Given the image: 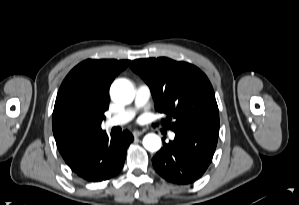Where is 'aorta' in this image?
Returning a JSON list of instances; mask_svg holds the SVG:
<instances>
[{
	"label": "aorta",
	"mask_w": 299,
	"mask_h": 205,
	"mask_svg": "<svg viewBox=\"0 0 299 205\" xmlns=\"http://www.w3.org/2000/svg\"><path fill=\"white\" fill-rule=\"evenodd\" d=\"M110 95L115 102L129 104L134 99L133 85L126 79H118L111 85ZM161 145V138L154 133L147 134L143 138V146L150 152L158 151Z\"/></svg>",
	"instance_id": "obj_1"
}]
</instances>
